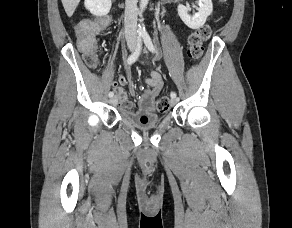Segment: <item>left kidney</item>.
Returning <instances> with one entry per match:
<instances>
[{
    "label": "left kidney",
    "instance_id": "1",
    "mask_svg": "<svg viewBox=\"0 0 292 228\" xmlns=\"http://www.w3.org/2000/svg\"><path fill=\"white\" fill-rule=\"evenodd\" d=\"M198 12L195 15H190L188 6L178 5V14L181 20L191 29H198L204 25L207 17L213 11L212 0H199Z\"/></svg>",
    "mask_w": 292,
    "mask_h": 228
}]
</instances>
